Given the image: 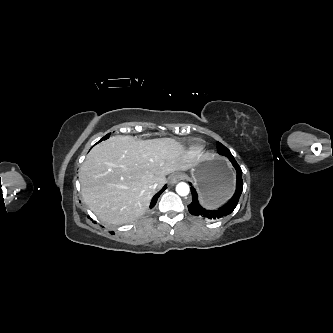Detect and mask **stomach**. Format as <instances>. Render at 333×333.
Returning a JSON list of instances; mask_svg holds the SVG:
<instances>
[{"label": "stomach", "instance_id": "obj_1", "mask_svg": "<svg viewBox=\"0 0 333 333\" xmlns=\"http://www.w3.org/2000/svg\"><path fill=\"white\" fill-rule=\"evenodd\" d=\"M201 202L205 206H216L227 199L233 190V172L222 158L210 155L191 169Z\"/></svg>", "mask_w": 333, "mask_h": 333}]
</instances>
